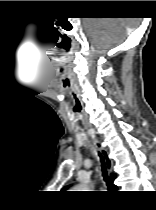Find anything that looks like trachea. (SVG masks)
Segmentation results:
<instances>
[{"instance_id":"1","label":"trachea","mask_w":156,"mask_h":210,"mask_svg":"<svg viewBox=\"0 0 156 210\" xmlns=\"http://www.w3.org/2000/svg\"><path fill=\"white\" fill-rule=\"evenodd\" d=\"M100 158H101V163H102V172H103L104 181L109 186V180H108L107 171L104 165V159L101 155H100Z\"/></svg>"}]
</instances>
